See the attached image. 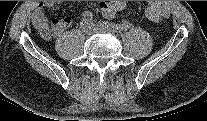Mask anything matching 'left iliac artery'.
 Wrapping results in <instances>:
<instances>
[{"label": "left iliac artery", "mask_w": 207, "mask_h": 121, "mask_svg": "<svg viewBox=\"0 0 207 121\" xmlns=\"http://www.w3.org/2000/svg\"><path fill=\"white\" fill-rule=\"evenodd\" d=\"M98 26L102 27V28H105V29H109L112 32H117V31H120V30L125 28V26H123V25L110 23V22H107V21L98 22Z\"/></svg>", "instance_id": "obj_1"}]
</instances>
